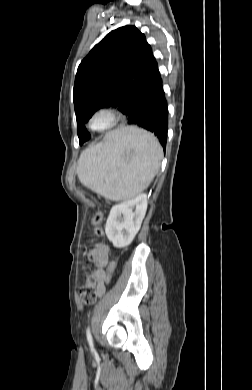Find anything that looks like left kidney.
<instances>
[{
    "instance_id": "1",
    "label": "left kidney",
    "mask_w": 252,
    "mask_h": 390,
    "mask_svg": "<svg viewBox=\"0 0 252 390\" xmlns=\"http://www.w3.org/2000/svg\"><path fill=\"white\" fill-rule=\"evenodd\" d=\"M147 210V195L124 201L112 207L105 232L116 248L127 247L138 233Z\"/></svg>"
}]
</instances>
